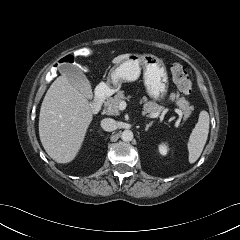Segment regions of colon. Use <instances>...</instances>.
I'll list each match as a JSON object with an SVG mask.
<instances>
[{
	"label": "colon",
	"mask_w": 240,
	"mask_h": 240,
	"mask_svg": "<svg viewBox=\"0 0 240 240\" xmlns=\"http://www.w3.org/2000/svg\"><path fill=\"white\" fill-rule=\"evenodd\" d=\"M93 54V50L84 47L76 50L71 55H66L59 60V65L73 63L75 57H89ZM171 74L175 85L178 90L183 94H189L192 90V82L185 67L179 63L171 66Z\"/></svg>",
	"instance_id": "obj_1"
}]
</instances>
